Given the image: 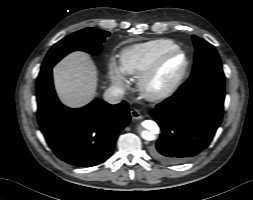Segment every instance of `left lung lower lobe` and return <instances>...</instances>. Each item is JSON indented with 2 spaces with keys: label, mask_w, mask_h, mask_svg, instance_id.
Returning <instances> with one entry per match:
<instances>
[{
  "label": "left lung lower lobe",
  "mask_w": 253,
  "mask_h": 200,
  "mask_svg": "<svg viewBox=\"0 0 253 200\" xmlns=\"http://www.w3.org/2000/svg\"><path fill=\"white\" fill-rule=\"evenodd\" d=\"M224 81L205 79L158 104L150 113L161 127L151 155L162 162L181 163L211 142L223 115Z\"/></svg>",
  "instance_id": "1"
}]
</instances>
